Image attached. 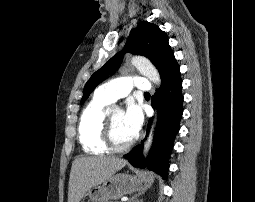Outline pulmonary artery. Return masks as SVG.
I'll list each match as a JSON object with an SVG mask.
<instances>
[{
    "label": "pulmonary artery",
    "instance_id": "obj_1",
    "mask_svg": "<svg viewBox=\"0 0 255 202\" xmlns=\"http://www.w3.org/2000/svg\"><path fill=\"white\" fill-rule=\"evenodd\" d=\"M134 87L140 91L149 92L151 84L141 76H122L105 82L97 88L95 94L112 103L128 95Z\"/></svg>",
    "mask_w": 255,
    "mask_h": 202
}]
</instances>
